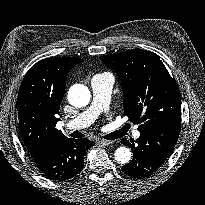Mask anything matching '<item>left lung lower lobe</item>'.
I'll return each instance as SVG.
<instances>
[{"label":"left lung lower lobe","mask_w":205,"mask_h":205,"mask_svg":"<svg viewBox=\"0 0 205 205\" xmlns=\"http://www.w3.org/2000/svg\"><path fill=\"white\" fill-rule=\"evenodd\" d=\"M180 130L181 122H170L140 131L136 141L123 138L121 143L132 148L133 159L122 167V171L138 179L153 175L170 156Z\"/></svg>","instance_id":"obj_1"}]
</instances>
